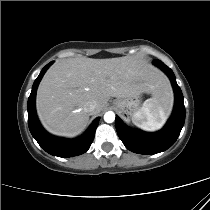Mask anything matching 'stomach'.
<instances>
[{
  "label": "stomach",
  "instance_id": "0dacf381",
  "mask_svg": "<svg viewBox=\"0 0 210 210\" xmlns=\"http://www.w3.org/2000/svg\"><path fill=\"white\" fill-rule=\"evenodd\" d=\"M113 106L123 117H133L141 109V94L130 98H117L113 101Z\"/></svg>",
  "mask_w": 210,
  "mask_h": 210
}]
</instances>
